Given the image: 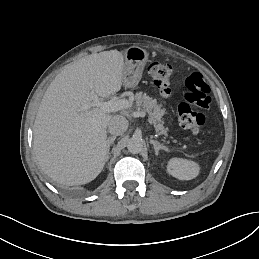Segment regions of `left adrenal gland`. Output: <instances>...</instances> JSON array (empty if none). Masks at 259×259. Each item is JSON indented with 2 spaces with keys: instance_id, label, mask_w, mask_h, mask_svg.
<instances>
[{
  "instance_id": "left-adrenal-gland-1",
  "label": "left adrenal gland",
  "mask_w": 259,
  "mask_h": 259,
  "mask_svg": "<svg viewBox=\"0 0 259 259\" xmlns=\"http://www.w3.org/2000/svg\"><path fill=\"white\" fill-rule=\"evenodd\" d=\"M150 143L154 146L155 154H156V155H158V152H159L160 149H163V150H165V151H167V152L170 151L166 146H164L163 144H160V143H159L158 141H156V140L151 139V140H150Z\"/></svg>"
}]
</instances>
